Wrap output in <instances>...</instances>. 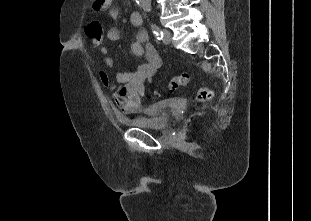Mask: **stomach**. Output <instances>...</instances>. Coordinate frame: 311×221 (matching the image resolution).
<instances>
[{
    "label": "stomach",
    "mask_w": 311,
    "mask_h": 221,
    "mask_svg": "<svg viewBox=\"0 0 311 221\" xmlns=\"http://www.w3.org/2000/svg\"><path fill=\"white\" fill-rule=\"evenodd\" d=\"M110 0H93V4H97V8L95 10H104L106 6H108Z\"/></svg>",
    "instance_id": "0dacf381"
}]
</instances>
